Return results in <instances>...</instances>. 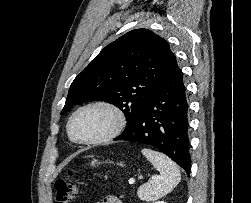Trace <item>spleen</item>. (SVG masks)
<instances>
[{
    "label": "spleen",
    "mask_w": 251,
    "mask_h": 203,
    "mask_svg": "<svg viewBox=\"0 0 251 203\" xmlns=\"http://www.w3.org/2000/svg\"><path fill=\"white\" fill-rule=\"evenodd\" d=\"M141 152L160 173L137 191L141 200L151 202L170 193L180 182L181 174L178 166L165 154L149 148H144Z\"/></svg>",
    "instance_id": "spleen-1"
}]
</instances>
